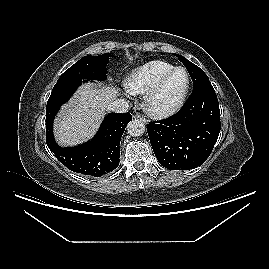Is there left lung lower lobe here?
<instances>
[{
    "mask_svg": "<svg viewBox=\"0 0 269 269\" xmlns=\"http://www.w3.org/2000/svg\"><path fill=\"white\" fill-rule=\"evenodd\" d=\"M147 131L157 160L167 169L189 170L203 164L220 132L219 103L211 83L195 87L177 114L151 122Z\"/></svg>",
    "mask_w": 269,
    "mask_h": 269,
    "instance_id": "0a47b994",
    "label": "left lung lower lobe"
}]
</instances>
